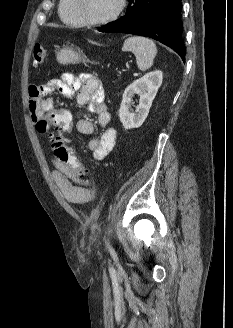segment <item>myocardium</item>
<instances>
[{"mask_svg": "<svg viewBox=\"0 0 233 328\" xmlns=\"http://www.w3.org/2000/svg\"><path fill=\"white\" fill-rule=\"evenodd\" d=\"M126 5H127V0H119L118 7L114 11V13L108 16L107 18L101 20H90L85 17L82 10V0H75V11L77 17L79 18V20L83 25L90 26V27H97V26L106 25L118 19L121 16V14L124 12Z\"/></svg>", "mask_w": 233, "mask_h": 328, "instance_id": "f54148a6", "label": "myocardium"}]
</instances>
